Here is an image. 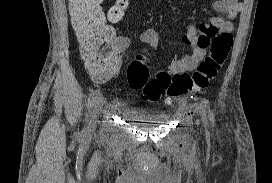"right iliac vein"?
I'll list each match as a JSON object with an SVG mask.
<instances>
[{
    "mask_svg": "<svg viewBox=\"0 0 272 183\" xmlns=\"http://www.w3.org/2000/svg\"><path fill=\"white\" fill-rule=\"evenodd\" d=\"M103 102H104V98L102 96H99L96 99L93 111L91 113V119L89 121V125H88V128H87V133L88 134L93 133L94 130H95L98 113H99V110H100L101 105L103 104Z\"/></svg>",
    "mask_w": 272,
    "mask_h": 183,
    "instance_id": "63e3f726",
    "label": "right iliac vein"
}]
</instances>
